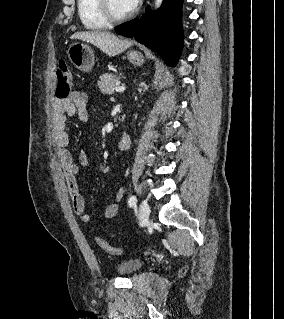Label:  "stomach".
<instances>
[{"label": "stomach", "mask_w": 284, "mask_h": 319, "mask_svg": "<svg viewBox=\"0 0 284 319\" xmlns=\"http://www.w3.org/2000/svg\"><path fill=\"white\" fill-rule=\"evenodd\" d=\"M67 54L71 63H73L77 69L84 72L90 71L95 63L92 48L84 43L75 42L71 44ZM127 58L130 63L134 65H142L144 63L143 55L138 52H129Z\"/></svg>", "instance_id": "0dacf381"}]
</instances>
